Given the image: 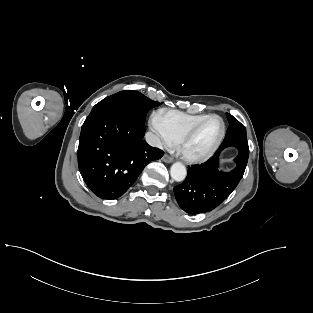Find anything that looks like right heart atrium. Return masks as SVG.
<instances>
[{"label":"right heart atrium","instance_id":"d8ad5b80","mask_svg":"<svg viewBox=\"0 0 313 313\" xmlns=\"http://www.w3.org/2000/svg\"><path fill=\"white\" fill-rule=\"evenodd\" d=\"M151 127L156 133V144L159 147L167 148L173 145V142L168 138V136L159 126L156 115H153L151 118Z\"/></svg>","mask_w":313,"mask_h":313}]
</instances>
